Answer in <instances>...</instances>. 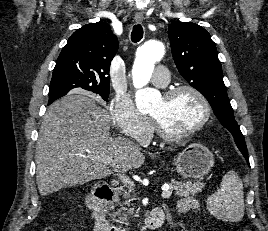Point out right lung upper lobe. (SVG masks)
Here are the masks:
<instances>
[{
  "mask_svg": "<svg viewBox=\"0 0 268 231\" xmlns=\"http://www.w3.org/2000/svg\"><path fill=\"white\" fill-rule=\"evenodd\" d=\"M117 50L118 40L109 24L97 22L83 26L70 36L62 49L50 88H63L67 93L71 89L109 90L108 74ZM62 96H49L48 105Z\"/></svg>",
  "mask_w": 268,
  "mask_h": 231,
  "instance_id": "1",
  "label": "right lung upper lobe"
}]
</instances>
